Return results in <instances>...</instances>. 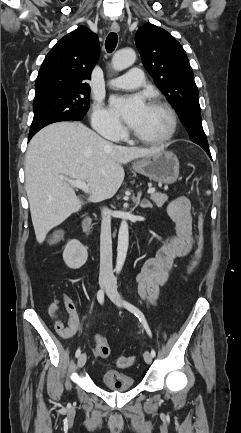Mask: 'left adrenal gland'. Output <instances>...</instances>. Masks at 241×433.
<instances>
[{"instance_id": "obj_1", "label": "left adrenal gland", "mask_w": 241, "mask_h": 433, "mask_svg": "<svg viewBox=\"0 0 241 433\" xmlns=\"http://www.w3.org/2000/svg\"><path fill=\"white\" fill-rule=\"evenodd\" d=\"M140 198H141V192L138 193L137 200H136V201H137V204H139L140 207H142V208H152V204L150 203L149 200H147V199H143V200L140 202Z\"/></svg>"}]
</instances>
